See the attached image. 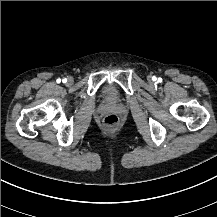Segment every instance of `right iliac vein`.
Returning a JSON list of instances; mask_svg holds the SVG:
<instances>
[{"label":"right iliac vein","mask_w":217,"mask_h":217,"mask_svg":"<svg viewBox=\"0 0 217 217\" xmlns=\"http://www.w3.org/2000/svg\"><path fill=\"white\" fill-rule=\"evenodd\" d=\"M72 82H73L72 78H69V79L67 80V83H68V84H72Z\"/></svg>","instance_id":"obj_1"}]
</instances>
